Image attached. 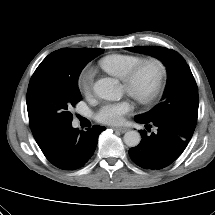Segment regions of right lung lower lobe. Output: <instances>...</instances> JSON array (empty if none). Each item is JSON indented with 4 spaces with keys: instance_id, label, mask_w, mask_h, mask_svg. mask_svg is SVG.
Returning <instances> with one entry per match:
<instances>
[{
    "instance_id": "obj_1",
    "label": "right lung lower lobe",
    "mask_w": 215,
    "mask_h": 215,
    "mask_svg": "<svg viewBox=\"0 0 215 215\" xmlns=\"http://www.w3.org/2000/svg\"><path fill=\"white\" fill-rule=\"evenodd\" d=\"M105 129L103 126L94 125L87 131H79L70 125L40 148L56 167L75 170L84 166L91 158L97 146L98 136Z\"/></svg>"
}]
</instances>
